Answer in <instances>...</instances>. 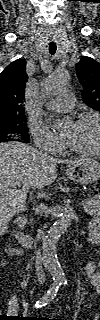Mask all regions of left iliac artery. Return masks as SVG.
<instances>
[{"label":"left iliac artery","mask_w":100,"mask_h":320,"mask_svg":"<svg viewBox=\"0 0 100 320\" xmlns=\"http://www.w3.org/2000/svg\"><path fill=\"white\" fill-rule=\"evenodd\" d=\"M62 283H63L64 285H67V280H62Z\"/></svg>","instance_id":"obj_1"}]
</instances>
